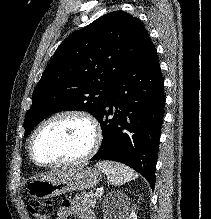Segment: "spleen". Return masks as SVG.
Here are the masks:
<instances>
[{"instance_id": "obj_1", "label": "spleen", "mask_w": 211, "mask_h": 219, "mask_svg": "<svg viewBox=\"0 0 211 219\" xmlns=\"http://www.w3.org/2000/svg\"><path fill=\"white\" fill-rule=\"evenodd\" d=\"M96 167L106 174L113 185H122L138 177L129 167L112 161L97 162Z\"/></svg>"}]
</instances>
